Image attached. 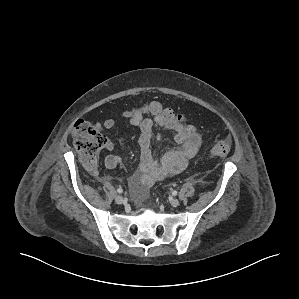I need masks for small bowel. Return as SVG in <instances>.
I'll use <instances>...</instances> for the list:
<instances>
[{
    "label": "small bowel",
    "mask_w": 299,
    "mask_h": 299,
    "mask_svg": "<svg viewBox=\"0 0 299 299\" xmlns=\"http://www.w3.org/2000/svg\"><path fill=\"white\" fill-rule=\"evenodd\" d=\"M120 118L130 125L139 127L138 143L140 146V161L135 173L129 179V187L137 201L145 199L148 189L157 181L175 175L189 164L197 154L201 136L193 125L184 123H169L161 117L151 113L148 105L133 107L120 114ZM115 126L113 118L106 119L97 127L100 130H110ZM156 129L168 130L173 133L177 147L168 149L160 158L155 155L154 145L161 140ZM108 151H113L114 145L108 142L105 145ZM119 163V157L113 153L105 157L106 168L113 169Z\"/></svg>",
    "instance_id": "c3829d8e"
}]
</instances>
